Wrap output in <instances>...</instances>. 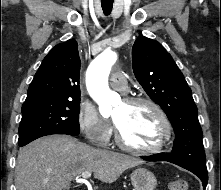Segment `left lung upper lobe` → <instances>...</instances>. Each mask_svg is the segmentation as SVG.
<instances>
[{
  "label": "left lung upper lobe",
  "mask_w": 221,
  "mask_h": 190,
  "mask_svg": "<svg viewBox=\"0 0 221 190\" xmlns=\"http://www.w3.org/2000/svg\"><path fill=\"white\" fill-rule=\"evenodd\" d=\"M136 79L148 96L167 114L176 135L172 153L205 162L198 110L182 72L157 41L138 37L132 48Z\"/></svg>",
  "instance_id": "left-lung-upper-lobe-1"
}]
</instances>
